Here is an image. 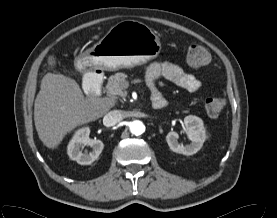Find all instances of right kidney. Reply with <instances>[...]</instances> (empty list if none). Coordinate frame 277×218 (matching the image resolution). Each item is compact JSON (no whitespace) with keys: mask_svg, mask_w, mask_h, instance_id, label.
<instances>
[{"mask_svg":"<svg viewBox=\"0 0 277 218\" xmlns=\"http://www.w3.org/2000/svg\"><path fill=\"white\" fill-rule=\"evenodd\" d=\"M90 128L78 129L70 140L67 147V154L70 159L75 160L80 165H90L101 154L104 144L101 140L89 138ZM85 145L92 147V151L82 152Z\"/></svg>","mask_w":277,"mask_h":218,"instance_id":"right-kidney-1","label":"right kidney"}]
</instances>
